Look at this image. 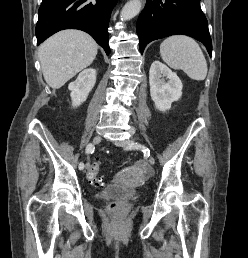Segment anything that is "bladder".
I'll list each match as a JSON object with an SVG mask.
<instances>
[{
	"label": "bladder",
	"instance_id": "1",
	"mask_svg": "<svg viewBox=\"0 0 248 258\" xmlns=\"http://www.w3.org/2000/svg\"><path fill=\"white\" fill-rule=\"evenodd\" d=\"M139 191L119 184H109L96 193L98 199H134L139 196Z\"/></svg>",
	"mask_w": 248,
	"mask_h": 258
}]
</instances>
